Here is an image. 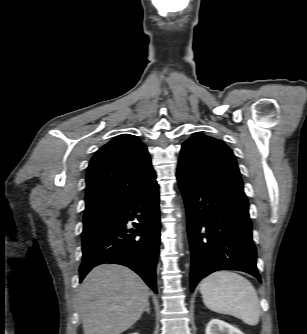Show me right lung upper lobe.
I'll return each instance as SVG.
<instances>
[{
	"instance_id": "obj_1",
	"label": "right lung upper lobe",
	"mask_w": 307,
	"mask_h": 334,
	"mask_svg": "<svg viewBox=\"0 0 307 334\" xmlns=\"http://www.w3.org/2000/svg\"><path fill=\"white\" fill-rule=\"evenodd\" d=\"M146 146L122 134L92 157L86 175L84 217L110 214L156 183Z\"/></svg>"
}]
</instances>
